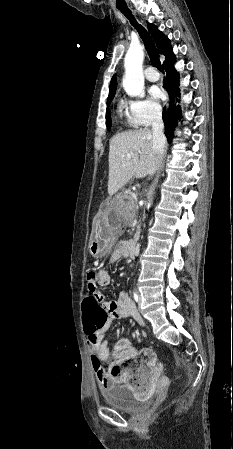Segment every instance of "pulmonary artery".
<instances>
[{"label":"pulmonary artery","mask_w":233,"mask_h":449,"mask_svg":"<svg viewBox=\"0 0 233 449\" xmlns=\"http://www.w3.org/2000/svg\"><path fill=\"white\" fill-rule=\"evenodd\" d=\"M144 74L145 78L151 82L158 81L160 78L159 73L153 67L146 68Z\"/></svg>","instance_id":"1"}]
</instances>
